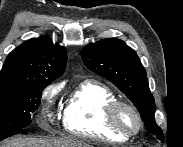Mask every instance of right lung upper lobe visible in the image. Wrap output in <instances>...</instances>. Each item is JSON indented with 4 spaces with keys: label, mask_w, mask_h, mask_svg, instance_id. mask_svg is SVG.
Returning a JSON list of instances; mask_svg holds the SVG:
<instances>
[{
    "label": "right lung upper lobe",
    "mask_w": 183,
    "mask_h": 147,
    "mask_svg": "<svg viewBox=\"0 0 183 147\" xmlns=\"http://www.w3.org/2000/svg\"><path fill=\"white\" fill-rule=\"evenodd\" d=\"M67 53L64 47L47 38L30 39L5 60L0 72V86L25 85L43 81L50 83L65 70Z\"/></svg>",
    "instance_id": "cb5924a9"
}]
</instances>
